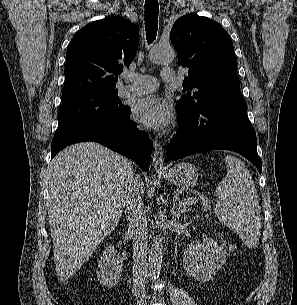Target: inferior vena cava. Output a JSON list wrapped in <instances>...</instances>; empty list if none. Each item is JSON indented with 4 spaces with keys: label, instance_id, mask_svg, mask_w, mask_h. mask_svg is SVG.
<instances>
[{
    "label": "inferior vena cava",
    "instance_id": "inferior-vena-cava-1",
    "mask_svg": "<svg viewBox=\"0 0 297 305\" xmlns=\"http://www.w3.org/2000/svg\"><path fill=\"white\" fill-rule=\"evenodd\" d=\"M139 176L131 173L125 191L128 228L133 239V289L139 302L146 298L145 281L148 276L147 217L139 190Z\"/></svg>",
    "mask_w": 297,
    "mask_h": 305
}]
</instances>
